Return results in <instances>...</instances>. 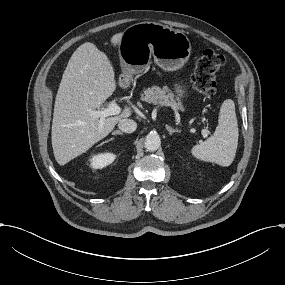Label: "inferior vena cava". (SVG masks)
<instances>
[{"instance_id":"obj_1","label":"inferior vena cava","mask_w":285,"mask_h":285,"mask_svg":"<svg viewBox=\"0 0 285 285\" xmlns=\"http://www.w3.org/2000/svg\"><path fill=\"white\" fill-rule=\"evenodd\" d=\"M118 127L125 133H132L136 130L137 124L132 119H121L118 123Z\"/></svg>"}]
</instances>
